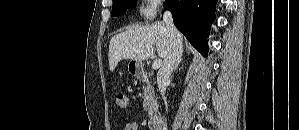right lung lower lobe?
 Here are the masks:
<instances>
[{"label":"right lung lower lobe","mask_w":299,"mask_h":130,"mask_svg":"<svg viewBox=\"0 0 299 130\" xmlns=\"http://www.w3.org/2000/svg\"><path fill=\"white\" fill-rule=\"evenodd\" d=\"M217 0H166L175 26L203 56L208 54L207 37L215 19Z\"/></svg>","instance_id":"1"}]
</instances>
